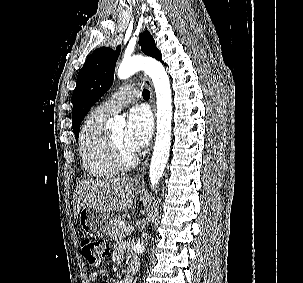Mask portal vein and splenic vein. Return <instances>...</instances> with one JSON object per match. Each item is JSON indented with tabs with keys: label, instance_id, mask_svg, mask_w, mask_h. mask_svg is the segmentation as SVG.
Returning <instances> with one entry per match:
<instances>
[{
	"label": "portal vein and splenic vein",
	"instance_id": "18ae733b",
	"mask_svg": "<svg viewBox=\"0 0 303 283\" xmlns=\"http://www.w3.org/2000/svg\"><path fill=\"white\" fill-rule=\"evenodd\" d=\"M121 224H122V222H121ZM133 229L134 228L132 226H126L125 231L128 233H131L133 231Z\"/></svg>",
	"mask_w": 303,
	"mask_h": 283
}]
</instances>
